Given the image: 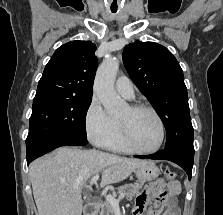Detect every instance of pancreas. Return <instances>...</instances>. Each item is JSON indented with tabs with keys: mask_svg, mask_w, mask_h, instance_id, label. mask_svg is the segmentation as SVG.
<instances>
[{
	"mask_svg": "<svg viewBox=\"0 0 223 215\" xmlns=\"http://www.w3.org/2000/svg\"><path fill=\"white\" fill-rule=\"evenodd\" d=\"M139 183H126V185H120V187H116L118 189L117 193L125 192L127 199H132L134 195L140 193L137 190ZM102 211H105V215H114V207L110 205L109 201H104L101 205Z\"/></svg>",
	"mask_w": 223,
	"mask_h": 215,
	"instance_id": "cf45deb5",
	"label": "pancreas"
}]
</instances>
